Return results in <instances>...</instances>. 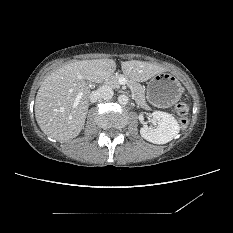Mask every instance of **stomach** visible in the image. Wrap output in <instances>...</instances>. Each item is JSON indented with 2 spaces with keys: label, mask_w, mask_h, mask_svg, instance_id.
<instances>
[{
  "label": "stomach",
  "mask_w": 233,
  "mask_h": 233,
  "mask_svg": "<svg viewBox=\"0 0 233 233\" xmlns=\"http://www.w3.org/2000/svg\"><path fill=\"white\" fill-rule=\"evenodd\" d=\"M182 86L178 79L170 73L154 75L147 86L148 100L160 107H169L175 104L182 95Z\"/></svg>",
  "instance_id": "obj_1"
}]
</instances>
